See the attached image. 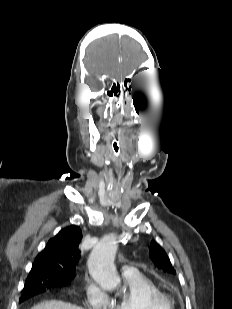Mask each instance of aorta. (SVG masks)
<instances>
[{
    "instance_id": "1",
    "label": "aorta",
    "mask_w": 232,
    "mask_h": 309,
    "mask_svg": "<svg viewBox=\"0 0 232 309\" xmlns=\"http://www.w3.org/2000/svg\"><path fill=\"white\" fill-rule=\"evenodd\" d=\"M117 247L115 235H107L93 248L88 259L90 275L105 289H114L120 284L114 267Z\"/></svg>"
}]
</instances>
